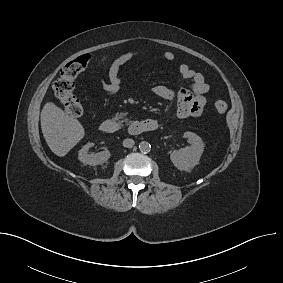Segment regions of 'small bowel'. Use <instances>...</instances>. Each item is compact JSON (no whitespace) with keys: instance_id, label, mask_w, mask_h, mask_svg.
<instances>
[{"instance_id":"c3829d8e","label":"small bowel","mask_w":283,"mask_h":283,"mask_svg":"<svg viewBox=\"0 0 283 283\" xmlns=\"http://www.w3.org/2000/svg\"><path fill=\"white\" fill-rule=\"evenodd\" d=\"M144 54L145 51L143 50L127 51L112 62L107 77L99 80L105 96H114L119 92L122 84L121 68L129 61ZM162 58L165 61H173L175 54L167 51L162 54ZM178 73L182 82L188 83L187 86L182 83L179 87L173 89L165 85H157L152 88V92L157 97L174 103L175 116L178 119L198 117L203 113L206 105L205 95L209 91V85L201 73L187 64H181Z\"/></svg>"}]
</instances>
